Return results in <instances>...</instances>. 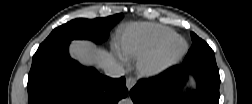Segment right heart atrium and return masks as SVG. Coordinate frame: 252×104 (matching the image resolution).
Returning <instances> with one entry per match:
<instances>
[{"instance_id": "1", "label": "right heart atrium", "mask_w": 252, "mask_h": 104, "mask_svg": "<svg viewBox=\"0 0 252 104\" xmlns=\"http://www.w3.org/2000/svg\"><path fill=\"white\" fill-rule=\"evenodd\" d=\"M120 59H121L122 62H125V60L122 57Z\"/></svg>"}]
</instances>
